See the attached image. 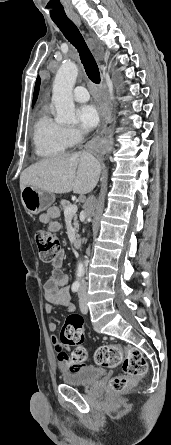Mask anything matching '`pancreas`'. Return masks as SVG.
I'll use <instances>...</instances> for the list:
<instances>
[{"label": "pancreas", "instance_id": "pancreas-1", "mask_svg": "<svg viewBox=\"0 0 171 445\" xmlns=\"http://www.w3.org/2000/svg\"><path fill=\"white\" fill-rule=\"evenodd\" d=\"M60 204H61L60 207H61L62 210H65L66 208L71 206V203L69 201H67V200H61ZM73 224H74L75 230L78 232L79 225H78V221H77V216L76 215L74 216V223Z\"/></svg>", "mask_w": 171, "mask_h": 445}]
</instances>
